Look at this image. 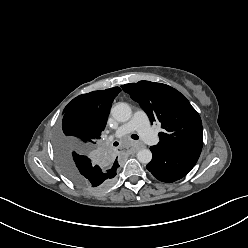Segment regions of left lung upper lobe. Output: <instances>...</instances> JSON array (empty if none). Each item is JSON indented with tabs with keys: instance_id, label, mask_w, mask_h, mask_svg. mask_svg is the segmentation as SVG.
Listing matches in <instances>:
<instances>
[{
	"instance_id": "obj_1",
	"label": "left lung upper lobe",
	"mask_w": 248,
	"mask_h": 248,
	"mask_svg": "<svg viewBox=\"0 0 248 248\" xmlns=\"http://www.w3.org/2000/svg\"><path fill=\"white\" fill-rule=\"evenodd\" d=\"M138 102L151 122H159L162 132L156 147L172 149L203 145L202 121L184 95L162 83L139 81L121 86Z\"/></svg>"
}]
</instances>
